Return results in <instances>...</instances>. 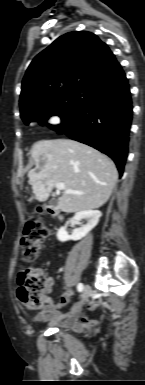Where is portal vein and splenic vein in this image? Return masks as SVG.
Segmentation results:
<instances>
[{
	"instance_id": "obj_1",
	"label": "portal vein and splenic vein",
	"mask_w": 145,
	"mask_h": 385,
	"mask_svg": "<svg viewBox=\"0 0 145 385\" xmlns=\"http://www.w3.org/2000/svg\"><path fill=\"white\" fill-rule=\"evenodd\" d=\"M56 188H57L58 190H64L65 193L82 194V192H79V191L66 190V189H65V183H63V182H58V183H56Z\"/></svg>"
}]
</instances>
